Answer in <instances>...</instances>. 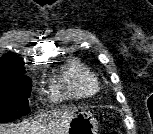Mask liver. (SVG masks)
<instances>
[{
	"label": "liver",
	"instance_id": "1",
	"mask_svg": "<svg viewBox=\"0 0 153 134\" xmlns=\"http://www.w3.org/2000/svg\"><path fill=\"white\" fill-rule=\"evenodd\" d=\"M77 109L56 110L50 115H43L38 121L24 122L17 125H0V134H41L42 132H53L63 134ZM50 119L47 124L46 118Z\"/></svg>",
	"mask_w": 153,
	"mask_h": 134
}]
</instances>
